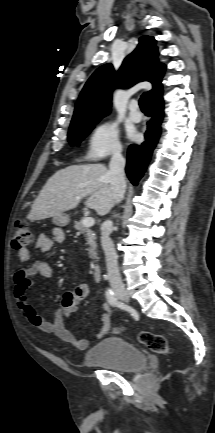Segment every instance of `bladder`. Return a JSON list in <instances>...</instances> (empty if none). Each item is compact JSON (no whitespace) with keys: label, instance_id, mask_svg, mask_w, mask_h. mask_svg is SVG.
<instances>
[{"label":"bladder","instance_id":"31cf9c89","mask_svg":"<svg viewBox=\"0 0 215 433\" xmlns=\"http://www.w3.org/2000/svg\"><path fill=\"white\" fill-rule=\"evenodd\" d=\"M86 366L107 367L119 373H133L146 367L145 353L134 344L118 337H107L84 356Z\"/></svg>","mask_w":215,"mask_h":433}]
</instances>
